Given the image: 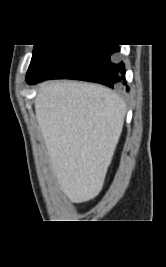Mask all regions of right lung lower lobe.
<instances>
[{"label": "right lung lower lobe", "instance_id": "98d812e1", "mask_svg": "<svg viewBox=\"0 0 166 267\" xmlns=\"http://www.w3.org/2000/svg\"><path fill=\"white\" fill-rule=\"evenodd\" d=\"M117 45L55 44L27 79L36 84L47 79H76L128 91L125 65Z\"/></svg>", "mask_w": 166, "mask_h": 267}]
</instances>
